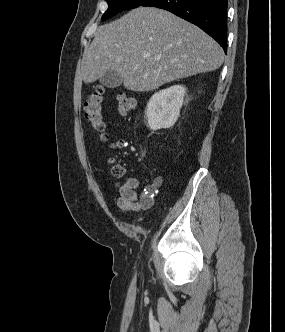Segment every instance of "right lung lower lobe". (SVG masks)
<instances>
[{
  "label": "right lung lower lobe",
  "mask_w": 285,
  "mask_h": 332,
  "mask_svg": "<svg viewBox=\"0 0 285 332\" xmlns=\"http://www.w3.org/2000/svg\"><path fill=\"white\" fill-rule=\"evenodd\" d=\"M141 6L162 8L197 25L227 51V0H146Z\"/></svg>",
  "instance_id": "1"
}]
</instances>
